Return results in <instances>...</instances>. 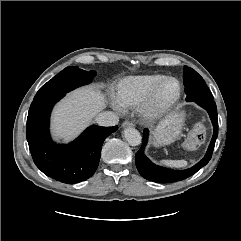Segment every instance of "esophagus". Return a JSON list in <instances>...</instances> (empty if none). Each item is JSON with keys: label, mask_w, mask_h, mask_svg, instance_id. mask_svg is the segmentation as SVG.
I'll return each instance as SVG.
<instances>
[{"label": "esophagus", "mask_w": 241, "mask_h": 241, "mask_svg": "<svg viewBox=\"0 0 241 241\" xmlns=\"http://www.w3.org/2000/svg\"><path fill=\"white\" fill-rule=\"evenodd\" d=\"M122 127H123V128H126V127H134V123L131 122V121H124V122L122 123Z\"/></svg>", "instance_id": "34e87169"}]
</instances>
